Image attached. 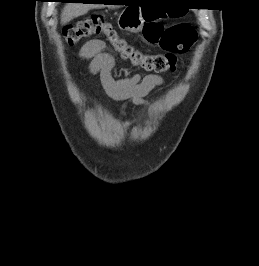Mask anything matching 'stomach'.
<instances>
[{"mask_svg":"<svg viewBox=\"0 0 259 266\" xmlns=\"http://www.w3.org/2000/svg\"><path fill=\"white\" fill-rule=\"evenodd\" d=\"M142 17L132 8L125 9L118 19V25L120 29L130 31V32H139L143 27Z\"/></svg>","mask_w":259,"mask_h":266,"instance_id":"obj_1","label":"stomach"}]
</instances>
